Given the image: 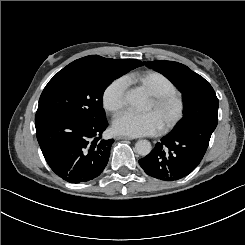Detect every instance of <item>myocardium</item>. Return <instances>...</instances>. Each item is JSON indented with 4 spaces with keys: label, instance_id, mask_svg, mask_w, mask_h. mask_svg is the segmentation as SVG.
<instances>
[{
    "label": "myocardium",
    "instance_id": "obj_1",
    "mask_svg": "<svg viewBox=\"0 0 245 245\" xmlns=\"http://www.w3.org/2000/svg\"><path fill=\"white\" fill-rule=\"evenodd\" d=\"M149 96L153 108L156 110H160L169 105L174 106L173 112L162 122L163 130L166 131L173 128L184 114L185 103L182 94L178 91H154L149 92Z\"/></svg>",
    "mask_w": 245,
    "mask_h": 245
}]
</instances>
